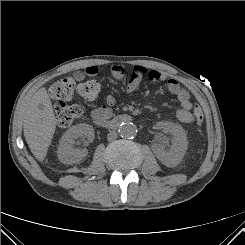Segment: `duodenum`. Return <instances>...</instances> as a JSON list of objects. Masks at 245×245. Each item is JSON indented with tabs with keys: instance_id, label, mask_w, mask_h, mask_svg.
Listing matches in <instances>:
<instances>
[{
	"instance_id": "duodenum-1",
	"label": "duodenum",
	"mask_w": 245,
	"mask_h": 245,
	"mask_svg": "<svg viewBox=\"0 0 245 245\" xmlns=\"http://www.w3.org/2000/svg\"><path fill=\"white\" fill-rule=\"evenodd\" d=\"M131 121H132L131 116L122 114L114 117L113 119H100L96 122V124L104 128L115 129L119 127L121 124L131 122Z\"/></svg>"
}]
</instances>
